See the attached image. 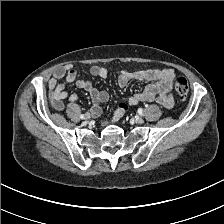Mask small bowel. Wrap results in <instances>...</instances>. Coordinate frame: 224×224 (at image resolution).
Wrapping results in <instances>:
<instances>
[{"label": "small bowel", "mask_w": 224, "mask_h": 224, "mask_svg": "<svg viewBox=\"0 0 224 224\" xmlns=\"http://www.w3.org/2000/svg\"><path fill=\"white\" fill-rule=\"evenodd\" d=\"M90 73L99 78H106L108 75V71L99 65H92ZM174 75V70L171 68L139 70L135 72L122 71L118 77V84L124 87L131 79L147 81L150 84L141 92L131 96L128 99V104L135 106L141 102L157 101L163 107L171 108L174 105V99L170 93ZM70 83H75L78 88L90 95L93 102L92 114H100L101 108L99 104L108 100V93L98 90L90 81L78 78L77 71L69 65L56 69L48 82L49 95L54 108L59 111L62 110V101L67 97L72 102L77 100L76 94L68 95V92L65 90V85ZM122 114L123 110H118L106 124L118 120Z\"/></svg>", "instance_id": "c3829d8e"}]
</instances>
